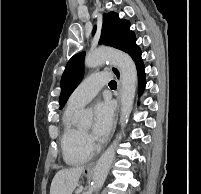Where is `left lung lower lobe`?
<instances>
[{
	"label": "left lung lower lobe",
	"instance_id": "left-lung-lower-lobe-1",
	"mask_svg": "<svg viewBox=\"0 0 201 194\" xmlns=\"http://www.w3.org/2000/svg\"><path fill=\"white\" fill-rule=\"evenodd\" d=\"M129 55L132 57L134 60L135 64L137 65V71H138V77H139V87H138V94L141 95L142 91L145 88V67L143 64V60L141 58V50L140 48L136 45Z\"/></svg>",
	"mask_w": 201,
	"mask_h": 194
}]
</instances>
